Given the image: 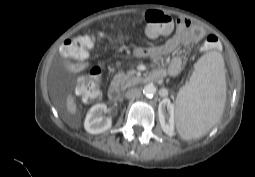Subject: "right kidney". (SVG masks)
Here are the masks:
<instances>
[{
	"mask_svg": "<svg viewBox=\"0 0 255 177\" xmlns=\"http://www.w3.org/2000/svg\"><path fill=\"white\" fill-rule=\"evenodd\" d=\"M106 110L107 106L103 103L91 107L84 122V128L89 134H100L111 128V118H102V113Z\"/></svg>",
	"mask_w": 255,
	"mask_h": 177,
	"instance_id": "ca27d5eb",
	"label": "right kidney"
}]
</instances>
